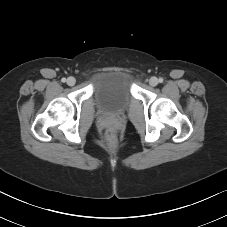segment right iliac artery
<instances>
[{
    "label": "right iliac artery",
    "instance_id": "1",
    "mask_svg": "<svg viewBox=\"0 0 227 227\" xmlns=\"http://www.w3.org/2000/svg\"><path fill=\"white\" fill-rule=\"evenodd\" d=\"M61 81L64 83L66 82V78H62Z\"/></svg>",
    "mask_w": 227,
    "mask_h": 227
}]
</instances>
